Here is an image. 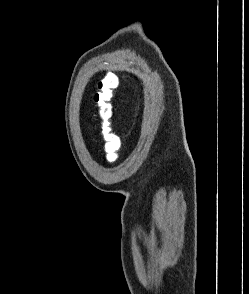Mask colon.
Returning <instances> with one entry per match:
<instances>
[{"mask_svg":"<svg viewBox=\"0 0 249 294\" xmlns=\"http://www.w3.org/2000/svg\"><path fill=\"white\" fill-rule=\"evenodd\" d=\"M115 90L116 86L111 81L104 80L99 83L94 97L101 120L100 132L107 142L106 151L109 161L115 160V153L119 147V137L113 131L114 105L112 99Z\"/></svg>","mask_w":249,"mask_h":294,"instance_id":"colon-1","label":"colon"}]
</instances>
